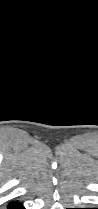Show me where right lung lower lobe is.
Returning a JSON list of instances; mask_svg holds the SVG:
<instances>
[{"mask_svg":"<svg viewBox=\"0 0 98 209\" xmlns=\"http://www.w3.org/2000/svg\"><path fill=\"white\" fill-rule=\"evenodd\" d=\"M7 209H24V207L20 202L12 201L7 205Z\"/></svg>","mask_w":98,"mask_h":209,"instance_id":"right-lung-lower-lobe-1","label":"right lung lower lobe"}]
</instances>
